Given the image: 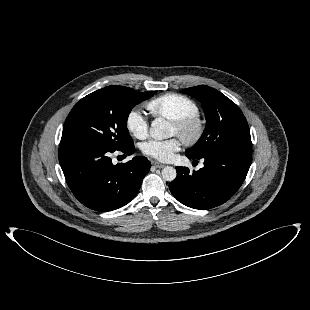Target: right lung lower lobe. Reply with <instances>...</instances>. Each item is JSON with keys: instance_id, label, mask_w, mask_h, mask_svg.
I'll use <instances>...</instances> for the list:
<instances>
[{"instance_id": "1", "label": "right lung lower lobe", "mask_w": 310, "mask_h": 310, "mask_svg": "<svg viewBox=\"0 0 310 310\" xmlns=\"http://www.w3.org/2000/svg\"><path fill=\"white\" fill-rule=\"evenodd\" d=\"M134 144L117 150L96 143H67L59 147V162L75 197L86 207L107 212L129 203L138 193L151 163L144 156L114 165L111 153L133 154Z\"/></svg>"}]
</instances>
